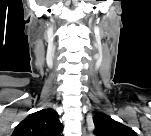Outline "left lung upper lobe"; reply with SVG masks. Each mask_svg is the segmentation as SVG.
I'll return each instance as SVG.
<instances>
[{
  "mask_svg": "<svg viewBox=\"0 0 151 136\" xmlns=\"http://www.w3.org/2000/svg\"><path fill=\"white\" fill-rule=\"evenodd\" d=\"M93 122L95 125L94 133L97 136H136L131 128L103 113L96 114L93 117Z\"/></svg>",
  "mask_w": 151,
  "mask_h": 136,
  "instance_id": "left-lung-upper-lobe-1",
  "label": "left lung upper lobe"
}]
</instances>
